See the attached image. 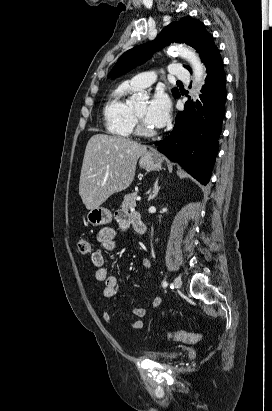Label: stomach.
Masks as SVG:
<instances>
[{
	"label": "stomach",
	"mask_w": 272,
	"mask_h": 411,
	"mask_svg": "<svg viewBox=\"0 0 272 411\" xmlns=\"http://www.w3.org/2000/svg\"><path fill=\"white\" fill-rule=\"evenodd\" d=\"M163 158L156 151H146L141 155L139 165L146 170H159L161 168ZM112 220V213L105 207H97L91 209L87 214V221L92 226H101L110 223Z\"/></svg>",
	"instance_id": "1"
}]
</instances>
